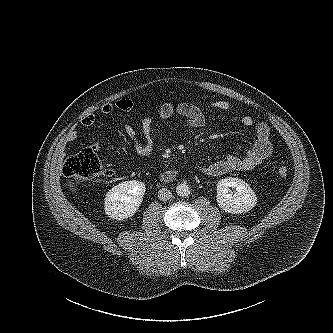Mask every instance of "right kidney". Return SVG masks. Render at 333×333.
Segmentation results:
<instances>
[{
  "label": "right kidney",
  "instance_id": "ca27d5eb",
  "mask_svg": "<svg viewBox=\"0 0 333 333\" xmlns=\"http://www.w3.org/2000/svg\"><path fill=\"white\" fill-rule=\"evenodd\" d=\"M146 186L137 180L124 181L110 189L105 197L104 209L108 217L124 220L139 209Z\"/></svg>",
  "mask_w": 333,
  "mask_h": 333
}]
</instances>
